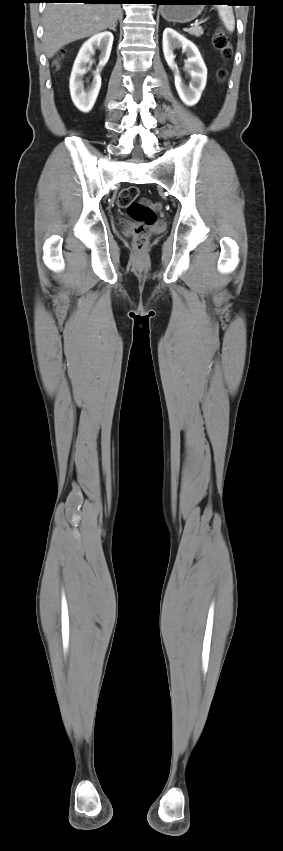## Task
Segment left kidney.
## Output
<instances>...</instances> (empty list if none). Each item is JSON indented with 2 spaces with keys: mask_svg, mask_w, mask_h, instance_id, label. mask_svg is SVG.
Returning a JSON list of instances; mask_svg holds the SVG:
<instances>
[{
  "mask_svg": "<svg viewBox=\"0 0 283 851\" xmlns=\"http://www.w3.org/2000/svg\"><path fill=\"white\" fill-rule=\"evenodd\" d=\"M176 48H182L187 55L184 68L191 78L189 86L182 81L175 63ZM163 53L168 66L174 72L175 87L179 97L187 106L195 105L200 100L207 82V68L198 48L172 28H166L163 32Z\"/></svg>",
  "mask_w": 283,
  "mask_h": 851,
  "instance_id": "5707ae66",
  "label": "left kidney"
}]
</instances>
